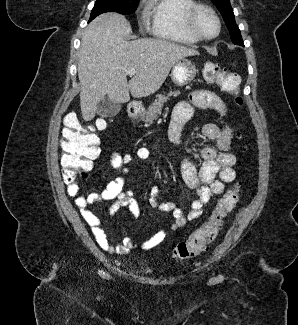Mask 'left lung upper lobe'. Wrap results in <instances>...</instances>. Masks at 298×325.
<instances>
[{
    "instance_id": "1",
    "label": "left lung upper lobe",
    "mask_w": 298,
    "mask_h": 325,
    "mask_svg": "<svg viewBox=\"0 0 298 325\" xmlns=\"http://www.w3.org/2000/svg\"><path fill=\"white\" fill-rule=\"evenodd\" d=\"M211 1L216 5L218 10L222 14L225 24L230 32L232 42L235 44L242 45L243 43L242 37L240 34V30L235 23L234 13L230 5V0H211Z\"/></svg>"
}]
</instances>
